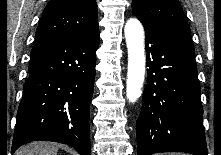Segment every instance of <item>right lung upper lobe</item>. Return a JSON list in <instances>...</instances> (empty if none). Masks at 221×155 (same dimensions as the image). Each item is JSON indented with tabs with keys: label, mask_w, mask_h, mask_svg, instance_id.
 <instances>
[{
	"label": "right lung upper lobe",
	"mask_w": 221,
	"mask_h": 155,
	"mask_svg": "<svg viewBox=\"0 0 221 155\" xmlns=\"http://www.w3.org/2000/svg\"><path fill=\"white\" fill-rule=\"evenodd\" d=\"M98 28L95 0H50L36 31V40L86 33Z\"/></svg>",
	"instance_id": "right-lung-upper-lobe-1"
}]
</instances>
